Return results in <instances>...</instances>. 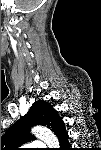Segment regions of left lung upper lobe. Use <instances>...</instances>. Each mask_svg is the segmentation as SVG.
<instances>
[{"label":"left lung upper lobe","instance_id":"1","mask_svg":"<svg viewBox=\"0 0 101 150\" xmlns=\"http://www.w3.org/2000/svg\"><path fill=\"white\" fill-rule=\"evenodd\" d=\"M33 125L50 128L58 138L65 132L64 122L54 108L46 101L39 100L1 137V146L5 150H15L25 141L34 139L29 133Z\"/></svg>","mask_w":101,"mask_h":150}]
</instances>
